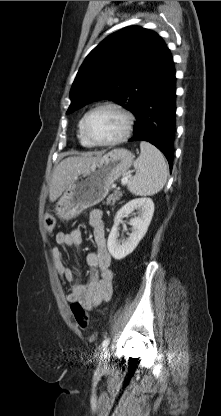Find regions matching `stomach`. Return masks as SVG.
Wrapping results in <instances>:
<instances>
[{
  "label": "stomach",
  "instance_id": "1",
  "mask_svg": "<svg viewBox=\"0 0 221 416\" xmlns=\"http://www.w3.org/2000/svg\"><path fill=\"white\" fill-rule=\"evenodd\" d=\"M133 158L127 149H114L77 174L57 202L56 215L70 220L100 203L108 195L111 185L131 167Z\"/></svg>",
  "mask_w": 221,
  "mask_h": 416
}]
</instances>
